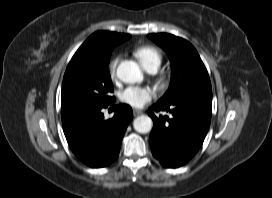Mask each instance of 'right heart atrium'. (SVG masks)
<instances>
[{"instance_id":"1","label":"right heart atrium","mask_w":272,"mask_h":198,"mask_svg":"<svg viewBox=\"0 0 272 198\" xmlns=\"http://www.w3.org/2000/svg\"><path fill=\"white\" fill-rule=\"evenodd\" d=\"M121 60V56L120 55H115L109 62L108 64V71L109 74L112 78H114L116 76V72H117V67L118 64Z\"/></svg>"}]
</instances>
